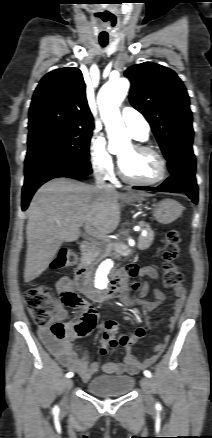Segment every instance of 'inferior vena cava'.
Instances as JSON below:
<instances>
[{
	"label": "inferior vena cava",
	"instance_id": "1",
	"mask_svg": "<svg viewBox=\"0 0 212 438\" xmlns=\"http://www.w3.org/2000/svg\"><path fill=\"white\" fill-rule=\"evenodd\" d=\"M96 187L99 190H105V191H113L115 190L114 187L110 184H107L103 181V177L100 173L96 175Z\"/></svg>",
	"mask_w": 212,
	"mask_h": 438
}]
</instances>
